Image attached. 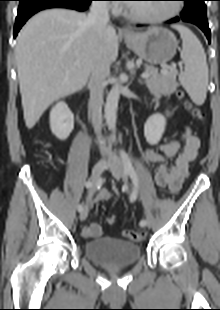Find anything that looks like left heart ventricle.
<instances>
[{"instance_id":"b2bd125f","label":"left heart ventricle","mask_w":220,"mask_h":310,"mask_svg":"<svg viewBox=\"0 0 220 310\" xmlns=\"http://www.w3.org/2000/svg\"><path fill=\"white\" fill-rule=\"evenodd\" d=\"M172 5L168 4H132L129 10L147 17H160L167 14L171 10Z\"/></svg>"}]
</instances>
